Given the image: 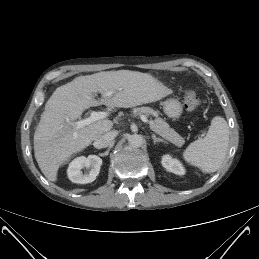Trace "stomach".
Instances as JSON below:
<instances>
[{
    "mask_svg": "<svg viewBox=\"0 0 259 259\" xmlns=\"http://www.w3.org/2000/svg\"><path fill=\"white\" fill-rule=\"evenodd\" d=\"M163 110L168 117L176 119L182 114L183 108L177 99L170 98L163 103Z\"/></svg>",
    "mask_w": 259,
    "mask_h": 259,
    "instance_id": "obj_1",
    "label": "stomach"
}]
</instances>
